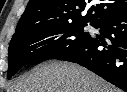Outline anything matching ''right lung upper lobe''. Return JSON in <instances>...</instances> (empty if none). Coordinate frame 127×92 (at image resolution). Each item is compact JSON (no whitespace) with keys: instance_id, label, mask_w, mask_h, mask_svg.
<instances>
[{"instance_id":"cb5924a9","label":"right lung upper lobe","mask_w":127,"mask_h":92,"mask_svg":"<svg viewBox=\"0 0 127 92\" xmlns=\"http://www.w3.org/2000/svg\"><path fill=\"white\" fill-rule=\"evenodd\" d=\"M91 1L93 0H30L12 39L35 27L87 22L93 25L105 17L127 10V0H95L97 3L89 8L85 16H81Z\"/></svg>"}]
</instances>
